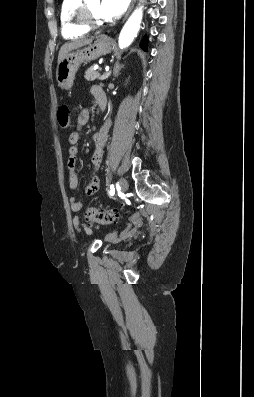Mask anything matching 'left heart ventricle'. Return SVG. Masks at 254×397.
I'll use <instances>...</instances> for the list:
<instances>
[{
	"instance_id": "1",
	"label": "left heart ventricle",
	"mask_w": 254,
	"mask_h": 397,
	"mask_svg": "<svg viewBox=\"0 0 254 397\" xmlns=\"http://www.w3.org/2000/svg\"><path fill=\"white\" fill-rule=\"evenodd\" d=\"M87 5L92 12L93 16L99 20V21H104L105 18L101 15L100 13V0H89L87 2Z\"/></svg>"
}]
</instances>
